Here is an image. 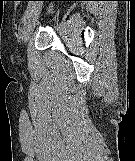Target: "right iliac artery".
<instances>
[{
	"instance_id": "1",
	"label": "right iliac artery",
	"mask_w": 135,
	"mask_h": 161,
	"mask_svg": "<svg viewBox=\"0 0 135 161\" xmlns=\"http://www.w3.org/2000/svg\"><path fill=\"white\" fill-rule=\"evenodd\" d=\"M33 5L34 4H29V6L27 7L26 11L24 12L23 18H22V23H26L27 19L30 17V14L32 12L33 9Z\"/></svg>"
}]
</instances>
